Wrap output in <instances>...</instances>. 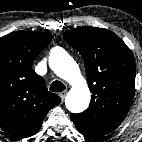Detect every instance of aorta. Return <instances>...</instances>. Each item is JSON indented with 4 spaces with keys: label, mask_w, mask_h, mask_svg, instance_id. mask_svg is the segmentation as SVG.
I'll list each match as a JSON object with an SVG mask.
<instances>
[{
    "label": "aorta",
    "mask_w": 142,
    "mask_h": 142,
    "mask_svg": "<svg viewBox=\"0 0 142 142\" xmlns=\"http://www.w3.org/2000/svg\"><path fill=\"white\" fill-rule=\"evenodd\" d=\"M49 66L54 73L71 85L65 105L72 113L83 112L90 103L91 93L75 60L60 47L51 50Z\"/></svg>",
    "instance_id": "1"
}]
</instances>
